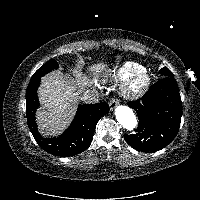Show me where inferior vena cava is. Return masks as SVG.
Instances as JSON below:
<instances>
[{
	"label": "inferior vena cava",
	"instance_id": "obj_1",
	"mask_svg": "<svg viewBox=\"0 0 200 200\" xmlns=\"http://www.w3.org/2000/svg\"><path fill=\"white\" fill-rule=\"evenodd\" d=\"M80 98L86 104L98 103V101H99V94H98V92L96 90L85 91L80 96Z\"/></svg>",
	"mask_w": 200,
	"mask_h": 200
}]
</instances>
